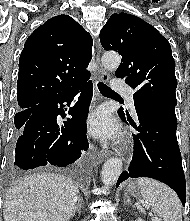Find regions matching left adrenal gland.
Masks as SVG:
<instances>
[{"instance_id":"obj_1","label":"left adrenal gland","mask_w":190,"mask_h":221,"mask_svg":"<svg viewBox=\"0 0 190 221\" xmlns=\"http://www.w3.org/2000/svg\"><path fill=\"white\" fill-rule=\"evenodd\" d=\"M124 204L132 205L131 200L127 194L124 196Z\"/></svg>"}]
</instances>
